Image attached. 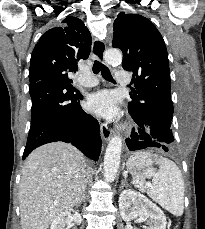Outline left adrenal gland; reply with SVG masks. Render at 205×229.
Masks as SVG:
<instances>
[{"mask_svg": "<svg viewBox=\"0 0 205 229\" xmlns=\"http://www.w3.org/2000/svg\"><path fill=\"white\" fill-rule=\"evenodd\" d=\"M124 186H126V183L125 180H122L120 188H123Z\"/></svg>", "mask_w": 205, "mask_h": 229, "instance_id": "obj_1", "label": "left adrenal gland"}]
</instances>
